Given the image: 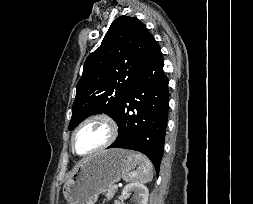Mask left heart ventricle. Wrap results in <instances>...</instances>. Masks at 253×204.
Listing matches in <instances>:
<instances>
[{
  "label": "left heart ventricle",
  "mask_w": 253,
  "mask_h": 204,
  "mask_svg": "<svg viewBox=\"0 0 253 204\" xmlns=\"http://www.w3.org/2000/svg\"><path fill=\"white\" fill-rule=\"evenodd\" d=\"M109 136V128L102 121H93L82 127L75 140L76 150L86 153L103 144Z\"/></svg>",
  "instance_id": "left-heart-ventricle-1"
}]
</instances>
